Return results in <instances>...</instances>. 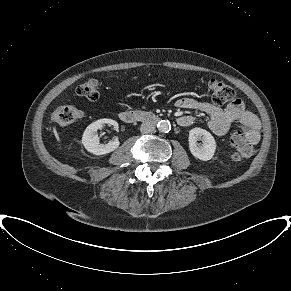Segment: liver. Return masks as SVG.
Wrapping results in <instances>:
<instances>
[{
    "label": "liver",
    "mask_w": 291,
    "mask_h": 291,
    "mask_svg": "<svg viewBox=\"0 0 291 291\" xmlns=\"http://www.w3.org/2000/svg\"><path fill=\"white\" fill-rule=\"evenodd\" d=\"M53 133H54L55 138L57 139V141H60L59 135H58V133H57L55 128H53Z\"/></svg>",
    "instance_id": "1"
}]
</instances>
